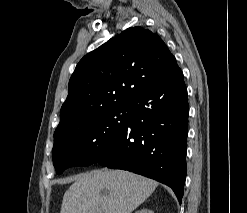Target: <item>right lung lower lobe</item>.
<instances>
[{"instance_id": "obj_1", "label": "right lung lower lobe", "mask_w": 247, "mask_h": 213, "mask_svg": "<svg viewBox=\"0 0 247 213\" xmlns=\"http://www.w3.org/2000/svg\"><path fill=\"white\" fill-rule=\"evenodd\" d=\"M131 115L97 161L128 170L172 188L179 202L186 178L187 88L181 69L129 101Z\"/></svg>"}]
</instances>
